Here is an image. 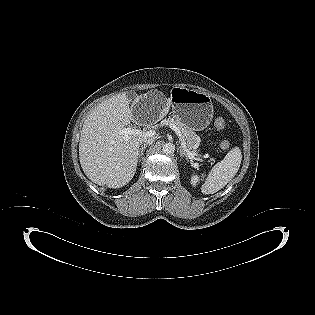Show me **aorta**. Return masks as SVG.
<instances>
[{
	"label": "aorta",
	"mask_w": 315,
	"mask_h": 315,
	"mask_svg": "<svg viewBox=\"0 0 315 315\" xmlns=\"http://www.w3.org/2000/svg\"><path fill=\"white\" fill-rule=\"evenodd\" d=\"M163 153L172 154L175 152V145L173 143H165L162 148Z\"/></svg>",
	"instance_id": "obj_1"
}]
</instances>
